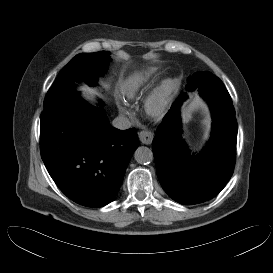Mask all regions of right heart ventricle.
Instances as JSON below:
<instances>
[{"mask_svg": "<svg viewBox=\"0 0 273 273\" xmlns=\"http://www.w3.org/2000/svg\"><path fill=\"white\" fill-rule=\"evenodd\" d=\"M153 76V69H146L134 73L123 87L124 95L128 98H134L138 92L149 83Z\"/></svg>", "mask_w": 273, "mask_h": 273, "instance_id": "obj_1", "label": "right heart ventricle"}]
</instances>
